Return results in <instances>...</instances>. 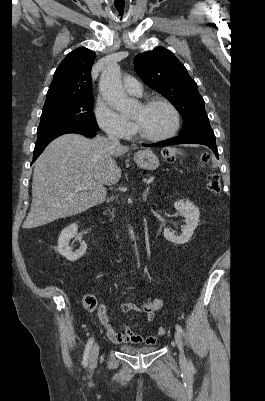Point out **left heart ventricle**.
<instances>
[{
    "mask_svg": "<svg viewBox=\"0 0 265 401\" xmlns=\"http://www.w3.org/2000/svg\"><path fill=\"white\" fill-rule=\"evenodd\" d=\"M132 121L137 125L140 134L149 136L166 133L174 125L172 112L161 104L150 107H144L140 104L135 109Z\"/></svg>",
    "mask_w": 265,
    "mask_h": 401,
    "instance_id": "left-heart-ventricle-1",
    "label": "left heart ventricle"
}]
</instances>
